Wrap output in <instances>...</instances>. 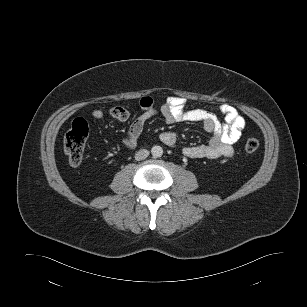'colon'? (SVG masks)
I'll return each mask as SVG.
<instances>
[{
	"label": "colon",
	"instance_id": "colon-1",
	"mask_svg": "<svg viewBox=\"0 0 307 307\" xmlns=\"http://www.w3.org/2000/svg\"><path fill=\"white\" fill-rule=\"evenodd\" d=\"M87 136V122L82 118L75 119L63 140L64 151L72 165H79L82 162ZM244 148L247 153H254L259 148V141L248 138Z\"/></svg>",
	"mask_w": 307,
	"mask_h": 307
}]
</instances>
